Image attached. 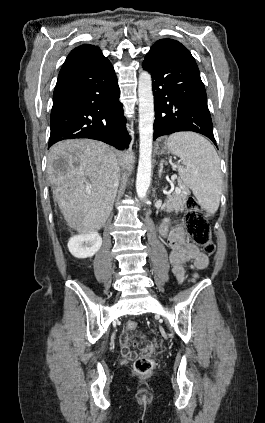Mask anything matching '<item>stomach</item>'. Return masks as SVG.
<instances>
[{
    "label": "stomach",
    "instance_id": "stomach-1",
    "mask_svg": "<svg viewBox=\"0 0 265 423\" xmlns=\"http://www.w3.org/2000/svg\"><path fill=\"white\" fill-rule=\"evenodd\" d=\"M157 152L160 155L170 152V150L168 148V141L167 140H161L160 141V143L157 145Z\"/></svg>",
    "mask_w": 265,
    "mask_h": 423
}]
</instances>
